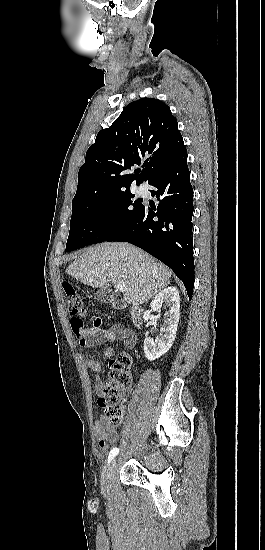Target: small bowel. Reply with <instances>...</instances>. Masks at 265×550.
Masks as SVG:
<instances>
[{
    "instance_id": "obj_1",
    "label": "small bowel",
    "mask_w": 265,
    "mask_h": 550,
    "mask_svg": "<svg viewBox=\"0 0 265 550\" xmlns=\"http://www.w3.org/2000/svg\"><path fill=\"white\" fill-rule=\"evenodd\" d=\"M73 332L79 340L80 345L83 347L95 346L108 342L109 346L103 351L104 358H110L113 355V343L116 341H121L123 345L129 349L133 348L136 343L135 335L131 331L122 327H116L113 329L83 327L78 330L73 329ZM85 363L94 374L98 375L101 373L102 364L100 361L95 359H86ZM94 384L96 393L101 395L104 386L102 380L99 377H96ZM94 432L99 446L104 450L119 439L117 431L113 427L108 426L103 417H100L95 421Z\"/></svg>"
}]
</instances>
